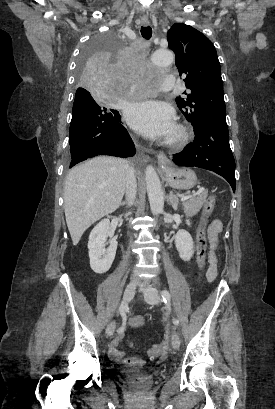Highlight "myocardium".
I'll list each match as a JSON object with an SVG mask.
<instances>
[{
  "mask_svg": "<svg viewBox=\"0 0 275 409\" xmlns=\"http://www.w3.org/2000/svg\"><path fill=\"white\" fill-rule=\"evenodd\" d=\"M186 136V129L182 125H176L163 139V143L169 146L179 145L186 139Z\"/></svg>",
  "mask_w": 275,
  "mask_h": 409,
  "instance_id": "f54148a6",
  "label": "myocardium"
}]
</instances>
